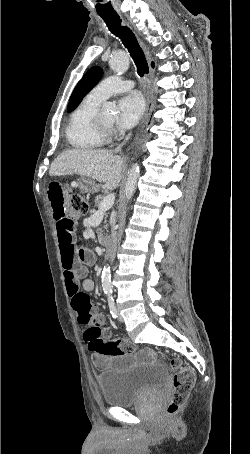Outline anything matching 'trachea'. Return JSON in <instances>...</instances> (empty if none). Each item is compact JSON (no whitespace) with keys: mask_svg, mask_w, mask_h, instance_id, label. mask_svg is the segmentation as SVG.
<instances>
[{"mask_svg":"<svg viewBox=\"0 0 250 454\" xmlns=\"http://www.w3.org/2000/svg\"><path fill=\"white\" fill-rule=\"evenodd\" d=\"M107 27L117 37H119L124 46L128 49L135 65L137 73L142 77L145 73H149V66L145 58L144 52L140 47L133 32L126 26L121 25V19L118 15L101 16Z\"/></svg>","mask_w":250,"mask_h":454,"instance_id":"3493384b","label":"trachea"}]
</instances>
